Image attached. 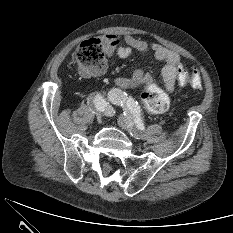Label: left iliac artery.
<instances>
[{
	"label": "left iliac artery",
	"instance_id": "1",
	"mask_svg": "<svg viewBox=\"0 0 233 233\" xmlns=\"http://www.w3.org/2000/svg\"><path fill=\"white\" fill-rule=\"evenodd\" d=\"M108 99L112 104L120 105L121 107L128 110L133 116L135 125L140 130H144V124L141 119V111L138 103L135 102L131 97H128L125 92L119 89H113L108 93Z\"/></svg>",
	"mask_w": 233,
	"mask_h": 233
}]
</instances>
